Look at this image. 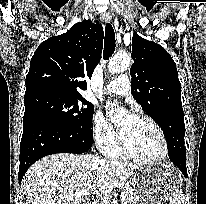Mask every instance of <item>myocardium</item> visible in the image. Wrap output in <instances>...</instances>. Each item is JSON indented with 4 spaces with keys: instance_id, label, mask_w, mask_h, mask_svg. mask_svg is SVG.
Here are the masks:
<instances>
[{
    "instance_id": "obj_1",
    "label": "myocardium",
    "mask_w": 206,
    "mask_h": 204,
    "mask_svg": "<svg viewBox=\"0 0 206 204\" xmlns=\"http://www.w3.org/2000/svg\"><path fill=\"white\" fill-rule=\"evenodd\" d=\"M130 116H132L134 118L146 120L156 129V131L160 135L162 143H163V152L161 155H159L158 157H155V158H147V157L140 156V155L134 153L128 147L121 132L119 131L118 141H119V148H120V151L122 152V154H124L125 156H127L128 158H131L133 160L144 162V163H151V164L159 163V162H162L163 160H165L170 153V145H169L168 138H167L163 128L157 123V121H155L151 116H149L145 113L135 112V113H132Z\"/></svg>"
}]
</instances>
